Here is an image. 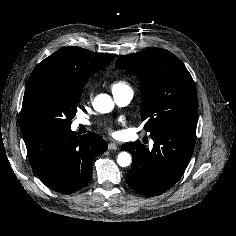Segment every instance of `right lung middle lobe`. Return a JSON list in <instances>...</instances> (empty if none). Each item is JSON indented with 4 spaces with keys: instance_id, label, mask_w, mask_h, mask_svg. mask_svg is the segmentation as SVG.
<instances>
[{
    "instance_id": "right-lung-middle-lobe-1",
    "label": "right lung middle lobe",
    "mask_w": 236,
    "mask_h": 236,
    "mask_svg": "<svg viewBox=\"0 0 236 236\" xmlns=\"http://www.w3.org/2000/svg\"><path fill=\"white\" fill-rule=\"evenodd\" d=\"M82 86L44 78L28 80L21 110L22 135L69 130L77 112Z\"/></svg>"
}]
</instances>
